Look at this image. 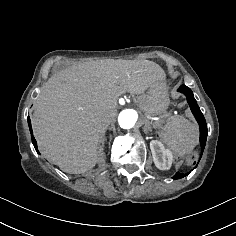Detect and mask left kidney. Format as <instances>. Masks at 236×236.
Wrapping results in <instances>:
<instances>
[{
  "mask_svg": "<svg viewBox=\"0 0 236 236\" xmlns=\"http://www.w3.org/2000/svg\"><path fill=\"white\" fill-rule=\"evenodd\" d=\"M151 151L155 165L159 169H168L171 165L172 154L168 149H165L163 144L157 141L151 142Z\"/></svg>",
  "mask_w": 236,
  "mask_h": 236,
  "instance_id": "5707ae66",
  "label": "left kidney"
}]
</instances>
